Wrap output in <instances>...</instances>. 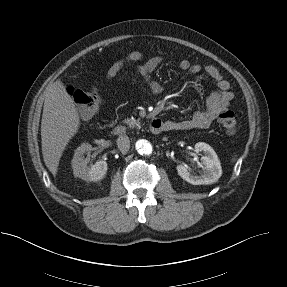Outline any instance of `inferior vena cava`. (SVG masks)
Listing matches in <instances>:
<instances>
[{
  "instance_id": "inferior-vena-cava-1",
  "label": "inferior vena cava",
  "mask_w": 287,
  "mask_h": 287,
  "mask_svg": "<svg viewBox=\"0 0 287 287\" xmlns=\"http://www.w3.org/2000/svg\"><path fill=\"white\" fill-rule=\"evenodd\" d=\"M118 148L122 153H126L130 149V140L127 135H120L117 139Z\"/></svg>"
}]
</instances>
